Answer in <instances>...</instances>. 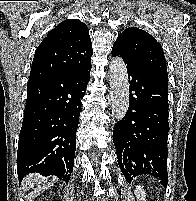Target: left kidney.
Masks as SVG:
<instances>
[{"label": "left kidney", "mask_w": 196, "mask_h": 201, "mask_svg": "<svg viewBox=\"0 0 196 201\" xmlns=\"http://www.w3.org/2000/svg\"><path fill=\"white\" fill-rule=\"evenodd\" d=\"M134 194L136 195V198L140 201H146L145 197H146V191L144 190V188L140 185H137L135 190H134Z\"/></svg>", "instance_id": "5707ae66"}]
</instances>
